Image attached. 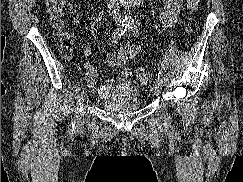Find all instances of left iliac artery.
I'll use <instances>...</instances> for the list:
<instances>
[{"mask_svg": "<svg viewBox=\"0 0 243 182\" xmlns=\"http://www.w3.org/2000/svg\"><path fill=\"white\" fill-rule=\"evenodd\" d=\"M128 29L133 35L135 36L139 35V30L133 22L128 24ZM158 79L162 83L161 71H158Z\"/></svg>", "mask_w": 243, "mask_h": 182, "instance_id": "left-iliac-artery-1", "label": "left iliac artery"}]
</instances>
